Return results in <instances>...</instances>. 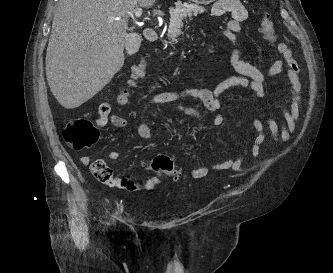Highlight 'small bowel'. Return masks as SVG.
I'll list each match as a JSON object with an SVG mask.
<instances>
[{
  "mask_svg": "<svg viewBox=\"0 0 333 273\" xmlns=\"http://www.w3.org/2000/svg\"><path fill=\"white\" fill-rule=\"evenodd\" d=\"M212 13L218 17L224 14H230L232 17L221 28V34L229 44V62L237 76L226 79L213 89L188 87L178 91H165L154 94L143 105L138 116L137 133L140 138L149 140L152 137L150 128L145 122V113L151 106H170L178 112L200 121L202 120V115L197 108L181 103L182 100L188 98L198 99L212 114V123L215 126H220L225 121L224 115L220 112L225 102L246 100L242 95L236 94L223 97L226 92L239 88L251 91L259 98H264L266 95L264 84L282 72L287 77L290 103L289 105H281L282 117L280 121L270 117H266L264 120L257 117L253 118L252 126L256 131V137L243 153L238 157H230L223 162L210 166L190 168L188 174L194 179L205 177L211 170H243V161L248 154H251L255 159L260 157V146L266 140V129L276 143L288 141L296 129L302 109V91L299 80L300 68L290 47L285 42H278L276 50L281 55V59L273 61L268 69L263 71L243 60L237 47L236 35L242 31V23L248 17L247 9L243 3L240 0H218L213 5ZM146 68L147 63L145 62H135L134 66H132V70L129 72V84H126L117 93L116 100L119 105L126 106L130 104L129 91L134 89L133 85L137 78L146 76ZM111 109V100H101L96 112L97 125L104 126L110 120L115 127H127L129 125L128 121L116 116V111H110ZM108 158L111 161H117L120 158V154L117 151H110ZM81 162L84 165H90L91 157L84 155L81 157ZM164 176L165 173H156L152 177L139 182H134L127 178L116 179L112 186L131 192L149 190L160 185Z\"/></svg>",
  "mask_w": 333,
  "mask_h": 273,
  "instance_id": "1",
  "label": "small bowel"
}]
</instances>
